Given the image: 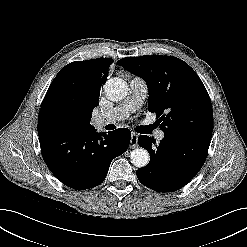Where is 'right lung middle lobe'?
<instances>
[{
	"instance_id": "1",
	"label": "right lung middle lobe",
	"mask_w": 247,
	"mask_h": 247,
	"mask_svg": "<svg viewBox=\"0 0 247 247\" xmlns=\"http://www.w3.org/2000/svg\"><path fill=\"white\" fill-rule=\"evenodd\" d=\"M74 70L63 68L51 83L43 100L38 122L56 129L77 132L84 104L73 86Z\"/></svg>"
}]
</instances>
